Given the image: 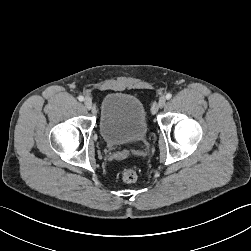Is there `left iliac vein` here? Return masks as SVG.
I'll return each mask as SVG.
<instances>
[{"label":"left iliac vein","instance_id":"left-iliac-vein-1","mask_svg":"<svg viewBox=\"0 0 251 251\" xmlns=\"http://www.w3.org/2000/svg\"><path fill=\"white\" fill-rule=\"evenodd\" d=\"M165 104H166V98H165V97H161V98L159 99V102H158V107H159V108H162V107L165 106Z\"/></svg>","mask_w":251,"mask_h":251}]
</instances>
